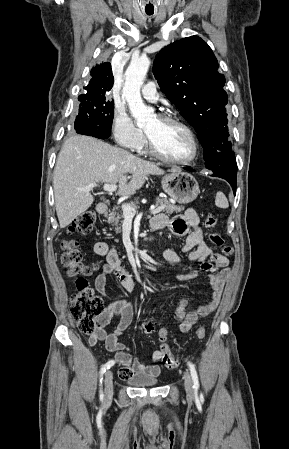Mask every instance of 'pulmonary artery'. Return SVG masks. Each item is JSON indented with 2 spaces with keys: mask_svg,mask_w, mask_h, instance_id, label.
<instances>
[{
  "mask_svg": "<svg viewBox=\"0 0 289 449\" xmlns=\"http://www.w3.org/2000/svg\"><path fill=\"white\" fill-rule=\"evenodd\" d=\"M142 96L149 102H157L159 99L156 83L154 81L147 82L141 90Z\"/></svg>",
  "mask_w": 289,
  "mask_h": 449,
  "instance_id": "1",
  "label": "pulmonary artery"
}]
</instances>
